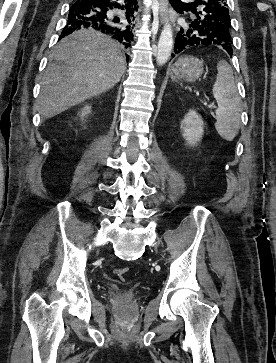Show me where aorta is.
Listing matches in <instances>:
<instances>
[{"label":"aorta","instance_id":"obj_1","mask_svg":"<svg viewBox=\"0 0 276 363\" xmlns=\"http://www.w3.org/2000/svg\"><path fill=\"white\" fill-rule=\"evenodd\" d=\"M173 48V31L170 24H166L161 32L159 42H158V52H157V63L158 65H164L170 55Z\"/></svg>","mask_w":276,"mask_h":363}]
</instances>
